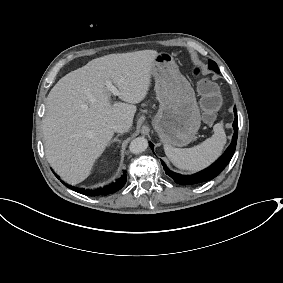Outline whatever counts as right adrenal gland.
I'll list each match as a JSON object with an SVG mask.
<instances>
[{
  "mask_svg": "<svg viewBox=\"0 0 283 283\" xmlns=\"http://www.w3.org/2000/svg\"><path fill=\"white\" fill-rule=\"evenodd\" d=\"M120 135H121V134H118V135L114 138V140L110 141L109 146H110L112 143H118V144H120V143H121L120 140L117 139Z\"/></svg>",
  "mask_w": 283,
  "mask_h": 283,
  "instance_id": "2a0ac1e0",
  "label": "right adrenal gland"
}]
</instances>
